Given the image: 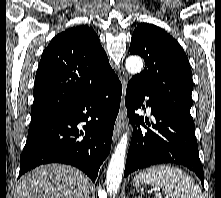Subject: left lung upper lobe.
<instances>
[{"label": "left lung upper lobe", "mask_w": 221, "mask_h": 198, "mask_svg": "<svg viewBox=\"0 0 221 198\" xmlns=\"http://www.w3.org/2000/svg\"><path fill=\"white\" fill-rule=\"evenodd\" d=\"M130 53L144 58V70L130 80L182 119L194 123L192 72L180 44L163 29L140 23L133 32Z\"/></svg>", "instance_id": "5c2ea615"}]
</instances>
